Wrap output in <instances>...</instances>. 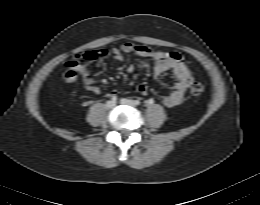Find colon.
I'll list each match as a JSON object with an SVG mask.
<instances>
[{
    "label": "colon",
    "mask_w": 260,
    "mask_h": 205,
    "mask_svg": "<svg viewBox=\"0 0 260 205\" xmlns=\"http://www.w3.org/2000/svg\"><path fill=\"white\" fill-rule=\"evenodd\" d=\"M104 52L105 49H97V50L86 52L80 57L78 64L83 66L86 61L95 60L97 58L102 57L104 55ZM204 90L205 88L202 83L195 82L190 86L189 91L190 94L193 96H200L201 94H203Z\"/></svg>",
    "instance_id": "5ec220e1"
}]
</instances>
